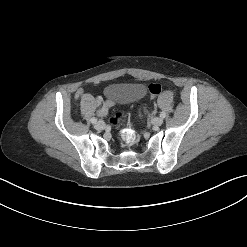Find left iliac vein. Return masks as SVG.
I'll return each instance as SVG.
<instances>
[{"mask_svg": "<svg viewBox=\"0 0 247 247\" xmlns=\"http://www.w3.org/2000/svg\"><path fill=\"white\" fill-rule=\"evenodd\" d=\"M163 123V118L161 117H155L152 119V124L154 126H160Z\"/></svg>", "mask_w": 247, "mask_h": 247, "instance_id": "obj_1", "label": "left iliac vein"}]
</instances>
